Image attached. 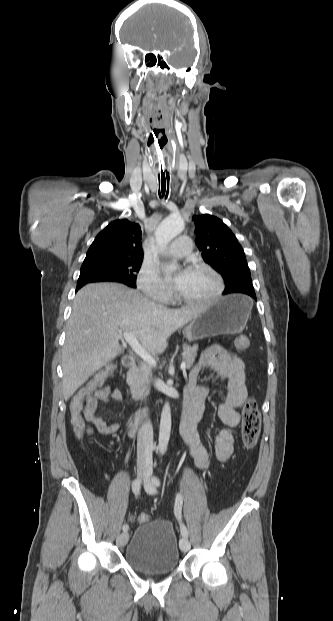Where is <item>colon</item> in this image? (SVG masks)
Wrapping results in <instances>:
<instances>
[{
    "instance_id": "5ec220e1",
    "label": "colon",
    "mask_w": 333,
    "mask_h": 621,
    "mask_svg": "<svg viewBox=\"0 0 333 621\" xmlns=\"http://www.w3.org/2000/svg\"><path fill=\"white\" fill-rule=\"evenodd\" d=\"M235 344L239 350H246L249 347V340L244 336H240L236 339ZM114 370L113 364L105 366L93 375L72 397L69 407L70 423L77 437H82L85 433V424L81 415L85 398L100 388L107 378L113 374ZM260 430L261 413L257 402L254 399H249L243 407L241 428L242 442L246 449H253L256 446ZM135 520L139 523H145L150 520V516L141 513L135 517Z\"/></svg>"
}]
</instances>
